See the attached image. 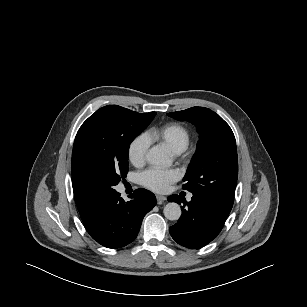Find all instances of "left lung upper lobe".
Masks as SVG:
<instances>
[{
    "label": "left lung upper lobe",
    "mask_w": 307,
    "mask_h": 307,
    "mask_svg": "<svg viewBox=\"0 0 307 307\" xmlns=\"http://www.w3.org/2000/svg\"><path fill=\"white\" fill-rule=\"evenodd\" d=\"M197 127L200 139L183 179V188L229 214L238 178L236 141L230 126L215 112L192 107L168 113Z\"/></svg>",
    "instance_id": "1"
}]
</instances>
